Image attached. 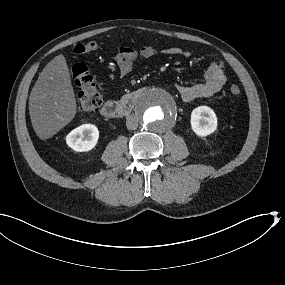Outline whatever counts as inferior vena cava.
Wrapping results in <instances>:
<instances>
[{"label": "inferior vena cava", "mask_w": 285, "mask_h": 285, "mask_svg": "<svg viewBox=\"0 0 285 285\" xmlns=\"http://www.w3.org/2000/svg\"><path fill=\"white\" fill-rule=\"evenodd\" d=\"M138 122L139 120L137 115L132 114L126 118V126L129 130H136L138 127Z\"/></svg>", "instance_id": "inferior-vena-cava-1"}]
</instances>
